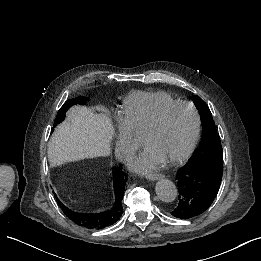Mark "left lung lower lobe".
I'll list each match as a JSON object with an SVG mask.
<instances>
[{
  "label": "left lung lower lobe",
  "mask_w": 261,
  "mask_h": 261,
  "mask_svg": "<svg viewBox=\"0 0 261 261\" xmlns=\"http://www.w3.org/2000/svg\"><path fill=\"white\" fill-rule=\"evenodd\" d=\"M223 161L214 158L189 160L176 175L178 205L171 210L175 218L189 219L204 213L214 201L221 184Z\"/></svg>",
  "instance_id": "left-lung-lower-lobe-1"
}]
</instances>
